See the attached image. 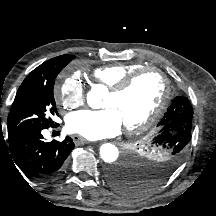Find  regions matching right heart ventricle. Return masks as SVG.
I'll return each instance as SVG.
<instances>
[{"label": "right heart ventricle", "instance_id": "1", "mask_svg": "<svg viewBox=\"0 0 216 216\" xmlns=\"http://www.w3.org/2000/svg\"><path fill=\"white\" fill-rule=\"evenodd\" d=\"M141 67L136 63L117 62L95 68L92 76L98 83L111 88L121 81L123 77Z\"/></svg>", "mask_w": 216, "mask_h": 216}]
</instances>
